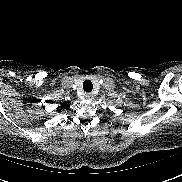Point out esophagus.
Here are the masks:
<instances>
[{
  "mask_svg": "<svg viewBox=\"0 0 182 182\" xmlns=\"http://www.w3.org/2000/svg\"><path fill=\"white\" fill-rule=\"evenodd\" d=\"M85 97H86V99H88V100H91V99H93L94 98V96H93V94L92 93H86L85 94Z\"/></svg>",
  "mask_w": 182,
  "mask_h": 182,
  "instance_id": "esophagus-1",
  "label": "esophagus"
}]
</instances>
